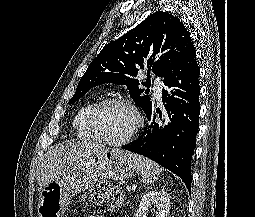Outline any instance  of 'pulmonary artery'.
Wrapping results in <instances>:
<instances>
[{"label": "pulmonary artery", "instance_id": "e3ab8cb5", "mask_svg": "<svg viewBox=\"0 0 255 217\" xmlns=\"http://www.w3.org/2000/svg\"><path fill=\"white\" fill-rule=\"evenodd\" d=\"M153 88H154V92H155V96H156L157 100L161 101L162 90H163V82L158 78L154 79Z\"/></svg>", "mask_w": 255, "mask_h": 217}]
</instances>
